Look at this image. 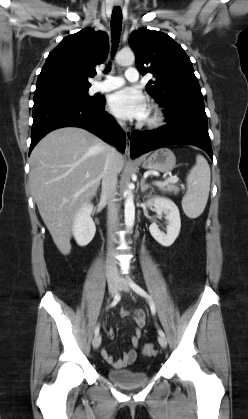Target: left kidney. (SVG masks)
<instances>
[{"mask_svg": "<svg viewBox=\"0 0 248 419\" xmlns=\"http://www.w3.org/2000/svg\"><path fill=\"white\" fill-rule=\"evenodd\" d=\"M147 205L154 206L155 211L158 214L164 212L166 214V220L168 221L167 233L162 232L158 225L152 223L149 226V231L152 237L163 246H170L176 240L179 235L181 228L180 213L176 204L165 197L154 196L149 198Z\"/></svg>", "mask_w": 248, "mask_h": 419, "instance_id": "5707ae66", "label": "left kidney"}]
</instances>
